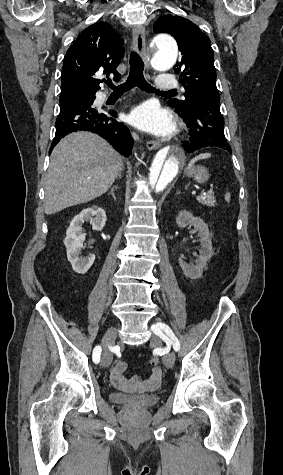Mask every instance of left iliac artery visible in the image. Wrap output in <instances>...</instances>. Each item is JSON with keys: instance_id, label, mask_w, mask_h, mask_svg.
I'll list each match as a JSON object with an SVG mask.
<instances>
[{"instance_id": "left-iliac-artery-1", "label": "left iliac artery", "mask_w": 283, "mask_h": 475, "mask_svg": "<svg viewBox=\"0 0 283 475\" xmlns=\"http://www.w3.org/2000/svg\"><path fill=\"white\" fill-rule=\"evenodd\" d=\"M157 328L163 330L170 337L174 350L178 351L180 349V343H179L177 337L174 335L171 328L168 325L164 324V323H157L156 327L152 326V330L154 331V333L159 335V336H161V334H160V332L158 331ZM161 337H163V336H161ZM163 338H165V337H163Z\"/></svg>"}]
</instances>
